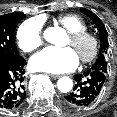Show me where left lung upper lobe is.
Returning <instances> with one entry per match:
<instances>
[{"mask_svg": "<svg viewBox=\"0 0 117 117\" xmlns=\"http://www.w3.org/2000/svg\"><path fill=\"white\" fill-rule=\"evenodd\" d=\"M81 11L86 14L95 23L100 36V51L99 58L95 64L91 67L92 70L101 71L107 74L108 64L106 60V53L108 49L107 31L102 21L91 11L85 8H81Z\"/></svg>", "mask_w": 117, "mask_h": 117, "instance_id": "1", "label": "left lung upper lobe"}]
</instances>
